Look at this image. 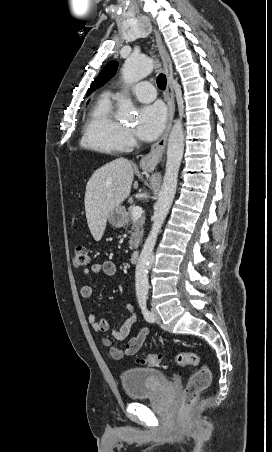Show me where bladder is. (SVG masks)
<instances>
[{"label":"bladder","mask_w":272,"mask_h":452,"mask_svg":"<svg viewBox=\"0 0 272 452\" xmlns=\"http://www.w3.org/2000/svg\"><path fill=\"white\" fill-rule=\"evenodd\" d=\"M122 388L131 399L152 395L166 382L162 371L150 368L130 367L119 372Z\"/></svg>","instance_id":"31cf9c89"}]
</instances>
